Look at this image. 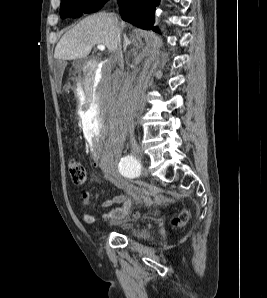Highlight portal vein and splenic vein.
<instances>
[{
    "instance_id": "18ae733b",
    "label": "portal vein and splenic vein",
    "mask_w": 267,
    "mask_h": 298,
    "mask_svg": "<svg viewBox=\"0 0 267 298\" xmlns=\"http://www.w3.org/2000/svg\"><path fill=\"white\" fill-rule=\"evenodd\" d=\"M97 48H98L100 51H104V50H105V46L102 45V44L97 45Z\"/></svg>"
}]
</instances>
